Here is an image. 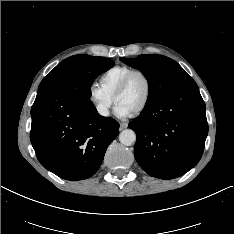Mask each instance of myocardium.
Returning a JSON list of instances; mask_svg holds the SVG:
<instances>
[{
  "label": "myocardium",
  "instance_id": "1",
  "mask_svg": "<svg viewBox=\"0 0 234 234\" xmlns=\"http://www.w3.org/2000/svg\"><path fill=\"white\" fill-rule=\"evenodd\" d=\"M136 75H142L144 77V79L146 80V83H147V91H146V96H145L143 103L134 112L131 113V115H133V116H137V115L141 114L148 107L150 100H151V97H152V90H153L152 80H151L150 76L145 71L137 69V70H133L132 72H130L123 79V81L120 83V85L117 87V89L115 90L113 97H112L113 102L116 104L117 97L126 91L132 78Z\"/></svg>",
  "mask_w": 234,
  "mask_h": 234
}]
</instances>
